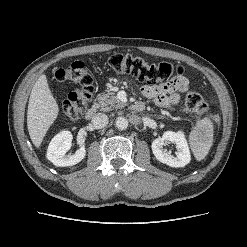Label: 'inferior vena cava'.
<instances>
[{
    "label": "inferior vena cava",
    "mask_w": 247,
    "mask_h": 247,
    "mask_svg": "<svg viewBox=\"0 0 247 247\" xmlns=\"http://www.w3.org/2000/svg\"><path fill=\"white\" fill-rule=\"evenodd\" d=\"M92 123L98 129L104 128L108 124V116L104 113H97L92 118Z\"/></svg>",
    "instance_id": "obj_1"
}]
</instances>
